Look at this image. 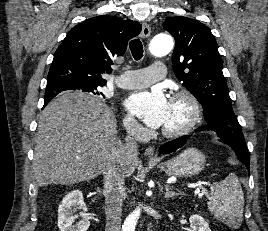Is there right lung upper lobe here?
<instances>
[{"label":"right lung upper lobe","mask_w":268,"mask_h":231,"mask_svg":"<svg viewBox=\"0 0 268 231\" xmlns=\"http://www.w3.org/2000/svg\"><path fill=\"white\" fill-rule=\"evenodd\" d=\"M141 25L132 20L96 16L74 26L58 47L47 77V87H100L103 73H111L112 59L125 53ZM53 96L45 95V103Z\"/></svg>","instance_id":"obj_1"}]
</instances>
